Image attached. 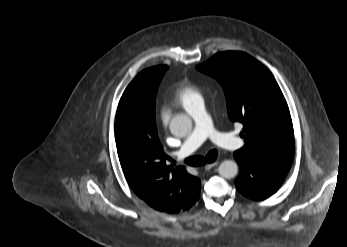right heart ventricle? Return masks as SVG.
<instances>
[{
	"mask_svg": "<svg viewBox=\"0 0 347 247\" xmlns=\"http://www.w3.org/2000/svg\"><path fill=\"white\" fill-rule=\"evenodd\" d=\"M200 98L202 95L198 87L189 81H181L175 86L170 102L187 110L194 101Z\"/></svg>",
	"mask_w": 347,
	"mask_h": 247,
	"instance_id": "e07e8e85",
	"label": "right heart ventricle"
}]
</instances>
